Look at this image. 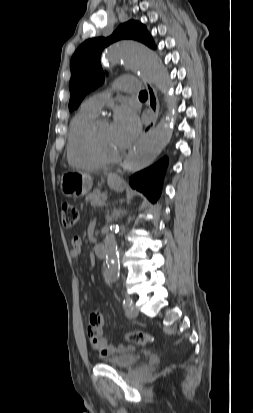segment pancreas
Masks as SVG:
<instances>
[{
  "instance_id": "1",
  "label": "pancreas",
  "mask_w": 253,
  "mask_h": 413,
  "mask_svg": "<svg viewBox=\"0 0 253 413\" xmlns=\"http://www.w3.org/2000/svg\"><path fill=\"white\" fill-rule=\"evenodd\" d=\"M85 200L86 202H90L93 206H98V204L103 203L106 200V196H104L100 190H94L86 196Z\"/></svg>"
}]
</instances>
